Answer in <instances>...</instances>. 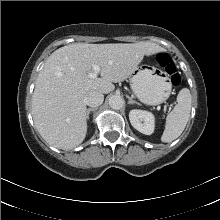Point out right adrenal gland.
<instances>
[{
  "mask_svg": "<svg viewBox=\"0 0 220 220\" xmlns=\"http://www.w3.org/2000/svg\"><path fill=\"white\" fill-rule=\"evenodd\" d=\"M95 110H97V108H88V109H87V111H86V117H87V119H89V114H90V112H91V111H95Z\"/></svg>",
  "mask_w": 220,
  "mask_h": 220,
  "instance_id": "right-adrenal-gland-1",
  "label": "right adrenal gland"
}]
</instances>
